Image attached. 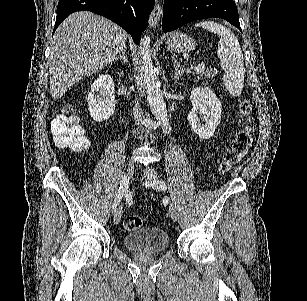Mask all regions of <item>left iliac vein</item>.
I'll return each mask as SVG.
<instances>
[{
    "label": "left iliac vein",
    "mask_w": 307,
    "mask_h": 301,
    "mask_svg": "<svg viewBox=\"0 0 307 301\" xmlns=\"http://www.w3.org/2000/svg\"><path fill=\"white\" fill-rule=\"evenodd\" d=\"M144 174L149 179V183L146 186L153 188V189H156V190H159L160 187L156 183V181H158V174L153 170H149L148 172H146ZM169 214H170V217L172 218V220L174 222H176L178 220V212H177V210H176V208L173 204L170 205Z\"/></svg>",
    "instance_id": "left-iliac-vein-1"
}]
</instances>
